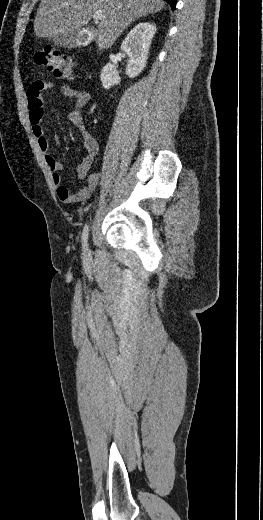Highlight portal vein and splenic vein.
Instances as JSON below:
<instances>
[{
  "label": "portal vein and splenic vein",
  "mask_w": 263,
  "mask_h": 520,
  "mask_svg": "<svg viewBox=\"0 0 263 520\" xmlns=\"http://www.w3.org/2000/svg\"><path fill=\"white\" fill-rule=\"evenodd\" d=\"M93 17L95 20H101L104 17V15L102 14V12L97 11L93 14Z\"/></svg>",
  "instance_id": "18ae733b"
}]
</instances>
